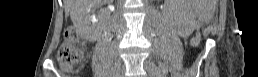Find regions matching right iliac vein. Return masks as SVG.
Returning <instances> with one entry per match:
<instances>
[{
	"mask_svg": "<svg viewBox=\"0 0 258 77\" xmlns=\"http://www.w3.org/2000/svg\"><path fill=\"white\" fill-rule=\"evenodd\" d=\"M121 61L118 59L115 61L112 69H111V75L110 77H118L121 73Z\"/></svg>",
	"mask_w": 258,
	"mask_h": 77,
	"instance_id": "63e3f726",
	"label": "right iliac vein"
}]
</instances>
